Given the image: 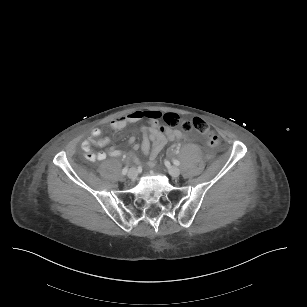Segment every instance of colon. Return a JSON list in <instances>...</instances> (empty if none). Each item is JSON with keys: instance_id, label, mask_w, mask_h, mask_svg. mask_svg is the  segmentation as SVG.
<instances>
[{"instance_id": "colon-1", "label": "colon", "mask_w": 307, "mask_h": 307, "mask_svg": "<svg viewBox=\"0 0 307 307\" xmlns=\"http://www.w3.org/2000/svg\"><path fill=\"white\" fill-rule=\"evenodd\" d=\"M164 122L172 127H177L179 124V119L177 115L168 113L163 116ZM182 129L185 131L194 130L197 133L203 135L209 146L215 147L219 144L218 134L212 130L209 125L201 118L195 117L190 120H186L182 123Z\"/></svg>"}]
</instances>
